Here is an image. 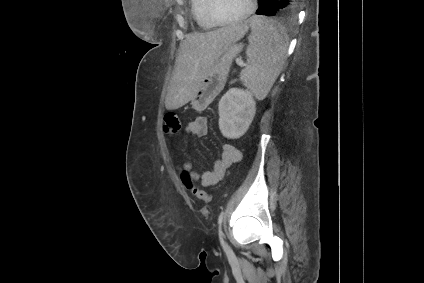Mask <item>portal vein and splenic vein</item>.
<instances>
[{
	"instance_id": "obj_1",
	"label": "portal vein and splenic vein",
	"mask_w": 424,
	"mask_h": 283,
	"mask_svg": "<svg viewBox=\"0 0 424 283\" xmlns=\"http://www.w3.org/2000/svg\"><path fill=\"white\" fill-rule=\"evenodd\" d=\"M236 63H237V65H238V66H240V67L245 66V63H244L241 59L236 60Z\"/></svg>"
}]
</instances>
